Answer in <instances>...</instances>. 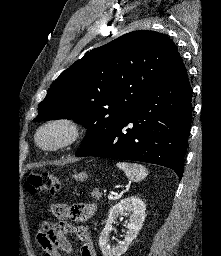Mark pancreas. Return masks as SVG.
<instances>
[{"label":"pancreas","instance_id":"obj_1","mask_svg":"<svg viewBox=\"0 0 221 256\" xmlns=\"http://www.w3.org/2000/svg\"><path fill=\"white\" fill-rule=\"evenodd\" d=\"M91 196L93 198H95L96 200H99L100 197L102 196V193L98 190V189H94L92 192H91Z\"/></svg>","mask_w":221,"mask_h":256}]
</instances>
